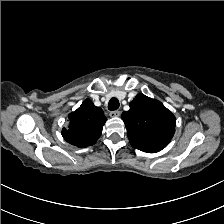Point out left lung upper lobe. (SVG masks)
I'll return each instance as SVG.
<instances>
[{"instance_id": "1", "label": "left lung upper lobe", "mask_w": 224, "mask_h": 224, "mask_svg": "<svg viewBox=\"0 0 224 224\" xmlns=\"http://www.w3.org/2000/svg\"><path fill=\"white\" fill-rule=\"evenodd\" d=\"M131 145L144 152L156 153L172 139L175 116L158 100L138 94L130 110L122 113Z\"/></svg>"}]
</instances>
